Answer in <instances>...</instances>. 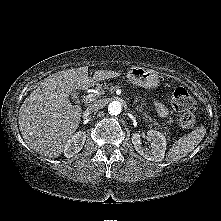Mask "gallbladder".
I'll return each mask as SVG.
<instances>
[{"instance_id": "gallbladder-1", "label": "gallbladder", "mask_w": 221, "mask_h": 221, "mask_svg": "<svg viewBox=\"0 0 221 221\" xmlns=\"http://www.w3.org/2000/svg\"><path fill=\"white\" fill-rule=\"evenodd\" d=\"M70 95H71L73 98H75V97H76V91L73 90V91L70 93Z\"/></svg>"}]
</instances>
